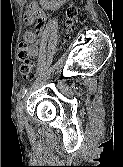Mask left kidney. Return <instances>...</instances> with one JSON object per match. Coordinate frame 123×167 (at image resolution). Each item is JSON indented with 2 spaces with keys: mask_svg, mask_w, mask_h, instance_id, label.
Masks as SVG:
<instances>
[{
  "mask_svg": "<svg viewBox=\"0 0 123 167\" xmlns=\"http://www.w3.org/2000/svg\"><path fill=\"white\" fill-rule=\"evenodd\" d=\"M67 0H58L56 3H54L50 8L51 9H55L57 7H60L64 2H66Z\"/></svg>",
  "mask_w": 123,
  "mask_h": 167,
  "instance_id": "5707ae66",
  "label": "left kidney"
}]
</instances>
